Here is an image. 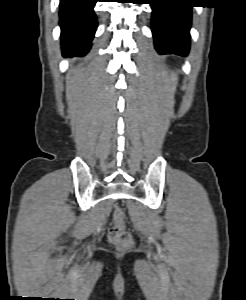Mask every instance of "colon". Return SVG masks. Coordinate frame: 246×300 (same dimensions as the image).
<instances>
[{"label":"colon","instance_id":"5ec220e1","mask_svg":"<svg viewBox=\"0 0 246 300\" xmlns=\"http://www.w3.org/2000/svg\"><path fill=\"white\" fill-rule=\"evenodd\" d=\"M124 220L123 210L120 207H115L113 210V225L107 233L109 241L122 248L129 247L132 244V238L125 229Z\"/></svg>","mask_w":246,"mask_h":300}]
</instances>
